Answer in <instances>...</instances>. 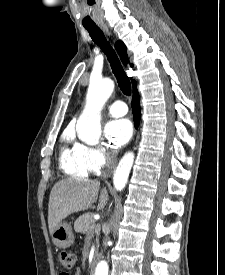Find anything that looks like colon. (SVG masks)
<instances>
[{
    "instance_id": "1",
    "label": "colon",
    "mask_w": 225,
    "mask_h": 275,
    "mask_svg": "<svg viewBox=\"0 0 225 275\" xmlns=\"http://www.w3.org/2000/svg\"><path fill=\"white\" fill-rule=\"evenodd\" d=\"M76 256L72 252L61 251L56 256V261L58 265L66 269L73 268L75 264ZM60 275H67L66 273H61Z\"/></svg>"
}]
</instances>
